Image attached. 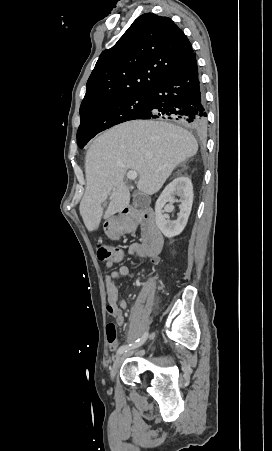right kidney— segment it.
<instances>
[{
  "instance_id": "1",
  "label": "right kidney",
  "mask_w": 272,
  "mask_h": 451,
  "mask_svg": "<svg viewBox=\"0 0 272 451\" xmlns=\"http://www.w3.org/2000/svg\"><path fill=\"white\" fill-rule=\"evenodd\" d=\"M176 196H179L180 200H177ZM193 196L192 182L189 178H184V176L175 178L171 184L166 186L161 196H159L155 204V220L157 227H159L160 231H162L166 237L179 235V233L183 231L190 216ZM167 202H170V210H173V202H179L180 212L177 220H169V218L163 216L162 208H164Z\"/></svg>"
}]
</instances>
